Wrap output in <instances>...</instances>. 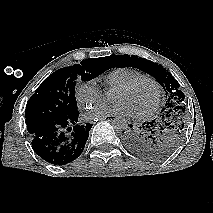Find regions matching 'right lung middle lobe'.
Returning a JSON list of instances; mask_svg holds the SVG:
<instances>
[{
    "mask_svg": "<svg viewBox=\"0 0 213 213\" xmlns=\"http://www.w3.org/2000/svg\"><path fill=\"white\" fill-rule=\"evenodd\" d=\"M106 57L87 59L58 69L46 78L30 97L25 111L27 130L31 133L42 123L78 112L75 85L81 78L89 81L110 69Z\"/></svg>",
    "mask_w": 213,
    "mask_h": 213,
    "instance_id": "obj_1",
    "label": "right lung middle lobe"
}]
</instances>
